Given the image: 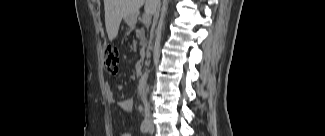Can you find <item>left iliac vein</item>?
<instances>
[{
    "label": "left iliac vein",
    "instance_id": "obj_1",
    "mask_svg": "<svg viewBox=\"0 0 325 136\" xmlns=\"http://www.w3.org/2000/svg\"><path fill=\"white\" fill-rule=\"evenodd\" d=\"M148 130L150 133L154 131V125L150 120H148Z\"/></svg>",
    "mask_w": 325,
    "mask_h": 136
}]
</instances>
